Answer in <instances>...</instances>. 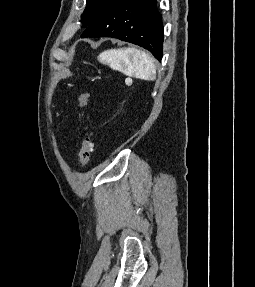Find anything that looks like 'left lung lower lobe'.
Masks as SVG:
<instances>
[{"instance_id": "1", "label": "left lung lower lobe", "mask_w": 255, "mask_h": 287, "mask_svg": "<svg viewBox=\"0 0 255 287\" xmlns=\"http://www.w3.org/2000/svg\"><path fill=\"white\" fill-rule=\"evenodd\" d=\"M81 37L118 38L144 47L160 60L163 24L157 0H113Z\"/></svg>"}]
</instances>
